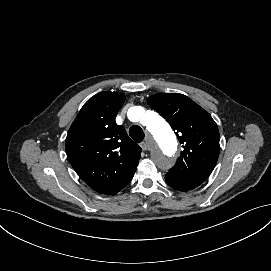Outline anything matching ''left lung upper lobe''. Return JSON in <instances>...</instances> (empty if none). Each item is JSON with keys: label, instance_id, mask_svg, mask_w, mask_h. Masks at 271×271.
<instances>
[{"label": "left lung upper lobe", "instance_id": "left-lung-upper-lobe-1", "mask_svg": "<svg viewBox=\"0 0 271 271\" xmlns=\"http://www.w3.org/2000/svg\"><path fill=\"white\" fill-rule=\"evenodd\" d=\"M148 104L169 122L183 144L169 174L203 182L219 156V130L212 117L189 97L179 93H157Z\"/></svg>", "mask_w": 271, "mask_h": 271}]
</instances>
